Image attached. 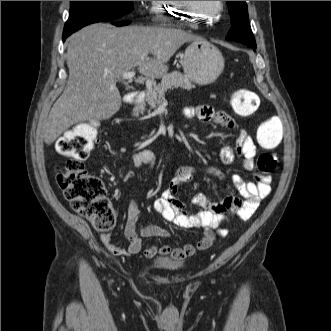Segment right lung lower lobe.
<instances>
[{"label":"right lung lower lobe","mask_w":331,"mask_h":331,"mask_svg":"<svg viewBox=\"0 0 331 331\" xmlns=\"http://www.w3.org/2000/svg\"><path fill=\"white\" fill-rule=\"evenodd\" d=\"M108 23H111V24H114V25H117V26H125V25H128L130 24V21H107ZM69 35H63V41L66 40V38L68 37Z\"/></svg>","instance_id":"98d812e1"}]
</instances>
